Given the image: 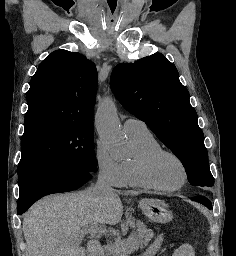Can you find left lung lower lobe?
Instances as JSON below:
<instances>
[{"label": "left lung lower lobe", "instance_id": "0a47b994", "mask_svg": "<svg viewBox=\"0 0 236 256\" xmlns=\"http://www.w3.org/2000/svg\"><path fill=\"white\" fill-rule=\"evenodd\" d=\"M192 200H195V201H197V202H199V203L205 205L207 208L212 209V205H211L210 200H208V199L205 198V197L198 196V197L192 198Z\"/></svg>", "mask_w": 236, "mask_h": 256}]
</instances>
